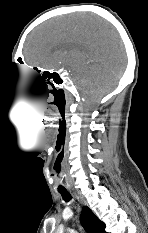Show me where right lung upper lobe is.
I'll list each match as a JSON object with an SVG mask.
<instances>
[{
  "mask_svg": "<svg viewBox=\"0 0 148 233\" xmlns=\"http://www.w3.org/2000/svg\"><path fill=\"white\" fill-rule=\"evenodd\" d=\"M81 222L88 233H106L105 223L86 206L82 209Z\"/></svg>",
  "mask_w": 148,
  "mask_h": 233,
  "instance_id": "1",
  "label": "right lung upper lobe"
}]
</instances>
